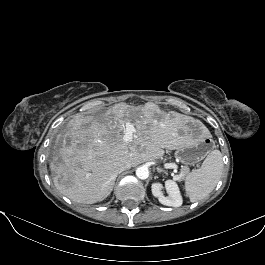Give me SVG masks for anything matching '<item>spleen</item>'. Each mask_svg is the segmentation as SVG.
Returning a JSON list of instances; mask_svg holds the SVG:
<instances>
[{
    "label": "spleen",
    "instance_id": "spleen-1",
    "mask_svg": "<svg viewBox=\"0 0 265 265\" xmlns=\"http://www.w3.org/2000/svg\"><path fill=\"white\" fill-rule=\"evenodd\" d=\"M222 171V154L219 150H213L203 161L201 167L186 176L185 191L190 201L196 202L208 196L220 180Z\"/></svg>",
    "mask_w": 265,
    "mask_h": 265
}]
</instances>
